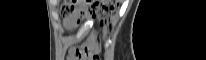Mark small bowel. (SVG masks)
Returning a JSON list of instances; mask_svg holds the SVG:
<instances>
[{"instance_id":"obj_1","label":"small bowel","mask_w":206,"mask_h":60,"mask_svg":"<svg viewBox=\"0 0 206 60\" xmlns=\"http://www.w3.org/2000/svg\"><path fill=\"white\" fill-rule=\"evenodd\" d=\"M69 60H79V58L75 54V50H72L69 54Z\"/></svg>"}]
</instances>
